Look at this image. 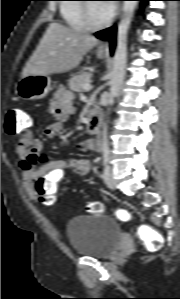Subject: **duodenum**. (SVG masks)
<instances>
[{
    "label": "duodenum",
    "mask_w": 180,
    "mask_h": 299,
    "mask_svg": "<svg viewBox=\"0 0 180 299\" xmlns=\"http://www.w3.org/2000/svg\"><path fill=\"white\" fill-rule=\"evenodd\" d=\"M102 123V114L100 112H93L87 124V129L90 133H97Z\"/></svg>",
    "instance_id": "410a0bca"
}]
</instances>
